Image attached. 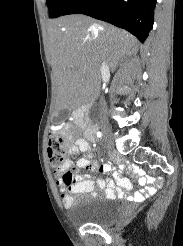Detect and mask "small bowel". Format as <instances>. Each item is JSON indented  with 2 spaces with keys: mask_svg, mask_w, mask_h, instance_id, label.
<instances>
[{
  "mask_svg": "<svg viewBox=\"0 0 183 246\" xmlns=\"http://www.w3.org/2000/svg\"><path fill=\"white\" fill-rule=\"evenodd\" d=\"M69 139L70 137L66 135ZM90 140V139H89ZM90 151L89 141L85 138L77 139L74 144L68 147V154L74 155L79 152L86 153V156L79 159L76 164H72L67 160L64 166L54 171L55 183L61 193V197L65 206L71 207L75 202L84 199L85 195L93 194L96 190L94 182V173L99 172L104 176H108L113 167L110 164H99L92 161V153ZM119 170H126L127 178L132 179L134 172L139 174L138 184L141 190L132 195L129 193L132 186L128 179L123 177L117 172L112 174L113 179L106 178V180H97V189L104 190L108 198L125 197L127 199L141 201L144 198H151V195L156 191V185L151 184L152 178L150 174H142V170L137 168L136 165H119ZM78 169H86L88 173H75ZM72 172V173H68ZM65 178H73L71 182L66 181ZM158 185L162 184L161 180L157 181ZM116 185L118 188H116Z\"/></svg>",
  "mask_w": 183,
  "mask_h": 246,
  "instance_id": "small-bowel-1",
  "label": "small bowel"
}]
</instances>
